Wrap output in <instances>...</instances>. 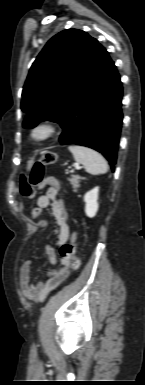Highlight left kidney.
Returning a JSON list of instances; mask_svg holds the SVG:
<instances>
[{
	"label": "left kidney",
	"instance_id": "obj_1",
	"mask_svg": "<svg viewBox=\"0 0 145 385\" xmlns=\"http://www.w3.org/2000/svg\"><path fill=\"white\" fill-rule=\"evenodd\" d=\"M98 192L99 188L95 187L84 195L85 213L90 218L94 217L98 211Z\"/></svg>",
	"mask_w": 145,
	"mask_h": 385
}]
</instances>
